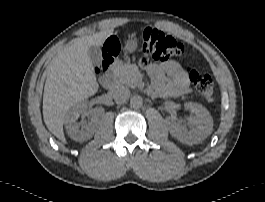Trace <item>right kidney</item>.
<instances>
[{"instance_id":"right-kidney-1","label":"right kidney","mask_w":265,"mask_h":202,"mask_svg":"<svg viewBox=\"0 0 265 202\" xmlns=\"http://www.w3.org/2000/svg\"><path fill=\"white\" fill-rule=\"evenodd\" d=\"M80 115L90 117V121L85 123L82 129H80L77 122ZM103 115V108L97 107L91 109L88 102L85 100L76 103L69 109L65 116L64 123L68 136L77 142H83L90 139L96 132Z\"/></svg>"}]
</instances>
